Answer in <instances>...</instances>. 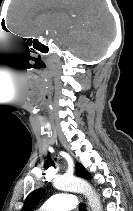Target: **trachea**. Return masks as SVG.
Here are the masks:
<instances>
[{"label": "trachea", "mask_w": 133, "mask_h": 211, "mask_svg": "<svg viewBox=\"0 0 133 211\" xmlns=\"http://www.w3.org/2000/svg\"><path fill=\"white\" fill-rule=\"evenodd\" d=\"M79 211H86V205L84 203L79 205Z\"/></svg>", "instance_id": "obj_1"}]
</instances>
